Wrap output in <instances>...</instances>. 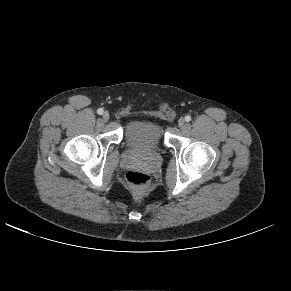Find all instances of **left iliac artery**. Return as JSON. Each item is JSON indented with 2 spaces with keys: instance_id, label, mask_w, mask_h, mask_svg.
Wrapping results in <instances>:
<instances>
[{
  "instance_id": "obj_1",
  "label": "left iliac artery",
  "mask_w": 291,
  "mask_h": 291,
  "mask_svg": "<svg viewBox=\"0 0 291 291\" xmlns=\"http://www.w3.org/2000/svg\"><path fill=\"white\" fill-rule=\"evenodd\" d=\"M190 120H191V117H190L189 115H187V116L185 117V121L189 122Z\"/></svg>"
}]
</instances>
